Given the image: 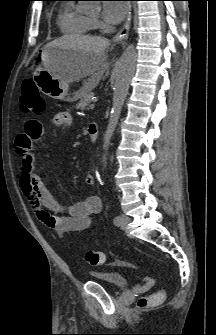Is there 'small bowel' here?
Segmentation results:
<instances>
[{
	"label": "small bowel",
	"mask_w": 216,
	"mask_h": 335,
	"mask_svg": "<svg viewBox=\"0 0 216 335\" xmlns=\"http://www.w3.org/2000/svg\"><path fill=\"white\" fill-rule=\"evenodd\" d=\"M68 112H60L54 116L56 126L65 127L70 124ZM44 120H27L24 132L19 135L16 146L20 155L21 189L26 202L37 218L47 228L57 233H75L89 228L93 215L102 209L101 200L97 196H89L72 205L59 203L47 189L44 178L35 171L33 143H37L42 135ZM85 183L94 185L93 175H86Z\"/></svg>",
	"instance_id": "1"
}]
</instances>
